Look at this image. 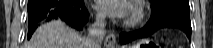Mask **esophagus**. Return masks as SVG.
Returning <instances> with one entry per match:
<instances>
[{
    "mask_svg": "<svg viewBox=\"0 0 213 48\" xmlns=\"http://www.w3.org/2000/svg\"><path fill=\"white\" fill-rule=\"evenodd\" d=\"M106 43L112 48L116 46V37L113 33H109L106 37Z\"/></svg>",
    "mask_w": 213,
    "mask_h": 48,
    "instance_id": "obj_1",
    "label": "esophagus"
}]
</instances>
